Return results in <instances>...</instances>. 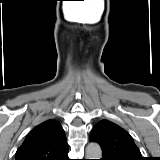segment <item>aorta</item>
Listing matches in <instances>:
<instances>
[{
  "instance_id": "obj_1",
  "label": "aorta",
  "mask_w": 160,
  "mask_h": 160,
  "mask_svg": "<svg viewBox=\"0 0 160 160\" xmlns=\"http://www.w3.org/2000/svg\"><path fill=\"white\" fill-rule=\"evenodd\" d=\"M102 150L98 143H90L86 147V159H101Z\"/></svg>"
}]
</instances>
